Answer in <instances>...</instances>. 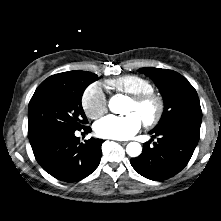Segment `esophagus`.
<instances>
[{
	"mask_svg": "<svg viewBox=\"0 0 221 221\" xmlns=\"http://www.w3.org/2000/svg\"><path fill=\"white\" fill-rule=\"evenodd\" d=\"M122 145H126L127 144V142L126 141H122V142H120Z\"/></svg>",
	"mask_w": 221,
	"mask_h": 221,
	"instance_id": "esophagus-1",
	"label": "esophagus"
}]
</instances>
